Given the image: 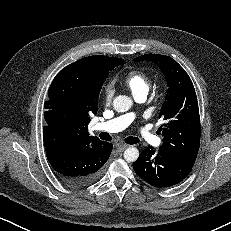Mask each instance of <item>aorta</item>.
<instances>
[{
    "label": "aorta",
    "mask_w": 231,
    "mask_h": 231,
    "mask_svg": "<svg viewBox=\"0 0 231 231\" xmlns=\"http://www.w3.org/2000/svg\"><path fill=\"white\" fill-rule=\"evenodd\" d=\"M133 105V101L130 97L125 95H119L113 100V107L117 112H126ZM139 157V150L136 147H129L124 151V159L127 162H134Z\"/></svg>",
    "instance_id": "aorta-1"
}]
</instances>
